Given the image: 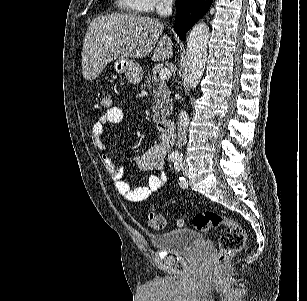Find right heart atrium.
Wrapping results in <instances>:
<instances>
[{"label":"right heart atrium","instance_id":"right-heart-atrium-1","mask_svg":"<svg viewBox=\"0 0 307 301\" xmlns=\"http://www.w3.org/2000/svg\"><path fill=\"white\" fill-rule=\"evenodd\" d=\"M134 11H157L158 7H162V0H135Z\"/></svg>","mask_w":307,"mask_h":301}]
</instances>
